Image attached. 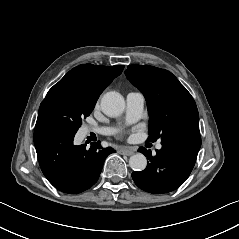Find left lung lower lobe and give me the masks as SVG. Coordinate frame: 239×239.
<instances>
[{
  "label": "left lung lower lobe",
  "instance_id": "0a47b994",
  "mask_svg": "<svg viewBox=\"0 0 239 239\" xmlns=\"http://www.w3.org/2000/svg\"><path fill=\"white\" fill-rule=\"evenodd\" d=\"M162 148L152 156L139 148L149 160L145 170L133 172L135 184L142 190L161 194L179 188L189 177L201 147L200 132L182 130L161 139Z\"/></svg>",
  "mask_w": 239,
  "mask_h": 239
}]
</instances>
